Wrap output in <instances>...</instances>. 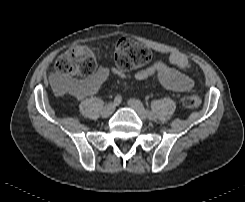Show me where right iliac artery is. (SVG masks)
Instances as JSON below:
<instances>
[{
	"label": "right iliac artery",
	"instance_id": "1",
	"mask_svg": "<svg viewBox=\"0 0 245 202\" xmlns=\"http://www.w3.org/2000/svg\"><path fill=\"white\" fill-rule=\"evenodd\" d=\"M121 100H122L121 95H117V96L114 98V103H115L116 105H118V104L121 102Z\"/></svg>",
	"mask_w": 245,
	"mask_h": 202
}]
</instances>
